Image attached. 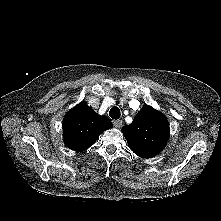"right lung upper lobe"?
Masks as SVG:
<instances>
[{"instance_id": "obj_1", "label": "right lung upper lobe", "mask_w": 221, "mask_h": 221, "mask_svg": "<svg viewBox=\"0 0 221 221\" xmlns=\"http://www.w3.org/2000/svg\"><path fill=\"white\" fill-rule=\"evenodd\" d=\"M111 127L109 118L98 115L85 102H81L63 119L64 143L69 149L84 151L95 143L103 131Z\"/></svg>"}]
</instances>
